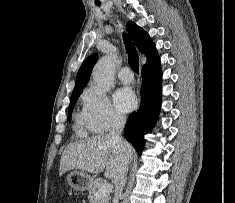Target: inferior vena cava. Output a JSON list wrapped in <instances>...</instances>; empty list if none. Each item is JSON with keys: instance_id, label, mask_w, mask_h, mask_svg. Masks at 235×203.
Wrapping results in <instances>:
<instances>
[{"instance_id": "602c4592", "label": "inferior vena cava", "mask_w": 235, "mask_h": 203, "mask_svg": "<svg viewBox=\"0 0 235 203\" xmlns=\"http://www.w3.org/2000/svg\"><path fill=\"white\" fill-rule=\"evenodd\" d=\"M125 122H126L125 116L116 114L113 118L112 129L109 133L111 138L118 141L124 150L127 147V142L123 140V138L121 137V133L125 126ZM127 170H128V162H125V164L122 166L119 177L115 182V196L113 203H119V198L122 194L123 188L126 183Z\"/></svg>"}]
</instances>
